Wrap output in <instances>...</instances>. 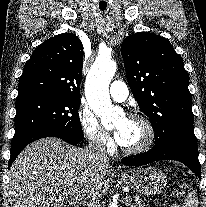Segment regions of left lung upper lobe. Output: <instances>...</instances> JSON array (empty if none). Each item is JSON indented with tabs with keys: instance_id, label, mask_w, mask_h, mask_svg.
Masks as SVG:
<instances>
[{
	"instance_id": "5c2ea615",
	"label": "left lung upper lobe",
	"mask_w": 206,
	"mask_h": 207,
	"mask_svg": "<svg viewBox=\"0 0 206 207\" xmlns=\"http://www.w3.org/2000/svg\"><path fill=\"white\" fill-rule=\"evenodd\" d=\"M128 84L140 109L150 118L153 150L180 140L196 141L188 73L167 39L139 32L121 45Z\"/></svg>"
}]
</instances>
